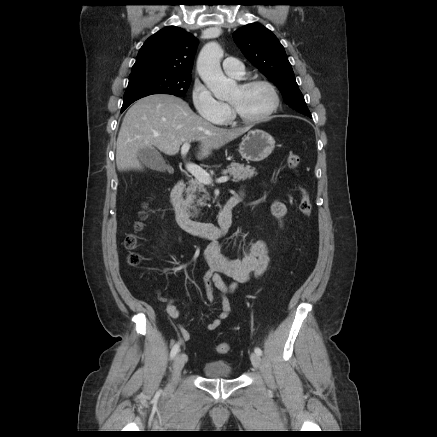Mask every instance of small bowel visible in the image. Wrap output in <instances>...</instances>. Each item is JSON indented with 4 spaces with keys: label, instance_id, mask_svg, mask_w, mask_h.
<instances>
[{
    "label": "small bowel",
    "instance_id": "small-bowel-1",
    "mask_svg": "<svg viewBox=\"0 0 437 437\" xmlns=\"http://www.w3.org/2000/svg\"><path fill=\"white\" fill-rule=\"evenodd\" d=\"M238 196L242 197L243 192H240ZM271 210L278 220H282L286 214V206L279 200L272 204ZM206 261L208 263V270L204 276L206 298L208 302L213 303L215 299L214 289H217L221 299V311L206 326L207 330L213 331L230 315L231 305L228 295L236 289L238 284L247 282L250 278L258 277L264 273L269 262V250L267 244L262 240L250 241L245 244L240 259H230L222 255L219 247L213 244L206 251ZM222 275L230 277L233 282L226 283ZM166 313L172 319L181 317L173 298L167 299ZM179 330L182 339L189 340L190 333L188 330L183 326H180Z\"/></svg>",
    "mask_w": 437,
    "mask_h": 437
}]
</instances>
